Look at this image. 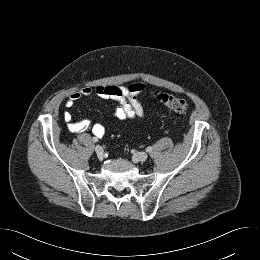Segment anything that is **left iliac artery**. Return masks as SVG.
<instances>
[{"mask_svg": "<svg viewBox=\"0 0 260 260\" xmlns=\"http://www.w3.org/2000/svg\"><path fill=\"white\" fill-rule=\"evenodd\" d=\"M151 151H152V147H147V148H146V152H149V153H150Z\"/></svg>", "mask_w": 260, "mask_h": 260, "instance_id": "1", "label": "left iliac artery"}]
</instances>
